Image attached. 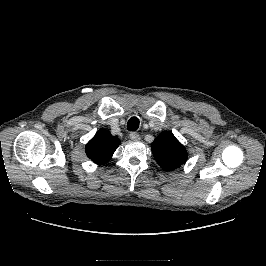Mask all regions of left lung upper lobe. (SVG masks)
<instances>
[{
  "label": "left lung upper lobe",
  "mask_w": 266,
  "mask_h": 266,
  "mask_svg": "<svg viewBox=\"0 0 266 266\" xmlns=\"http://www.w3.org/2000/svg\"><path fill=\"white\" fill-rule=\"evenodd\" d=\"M151 149L157 163L166 171L179 168L187 160L185 147L170 131L158 135L151 144Z\"/></svg>",
  "instance_id": "1"
}]
</instances>
